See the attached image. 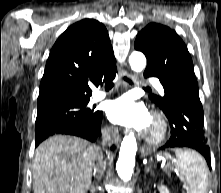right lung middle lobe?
Returning a JSON list of instances; mask_svg holds the SVG:
<instances>
[{
  "mask_svg": "<svg viewBox=\"0 0 221 193\" xmlns=\"http://www.w3.org/2000/svg\"><path fill=\"white\" fill-rule=\"evenodd\" d=\"M89 99H57L38 103L36 136L71 126L88 128L94 125L99 111L87 108Z\"/></svg>",
  "mask_w": 221,
  "mask_h": 193,
  "instance_id": "1",
  "label": "right lung middle lobe"
}]
</instances>
